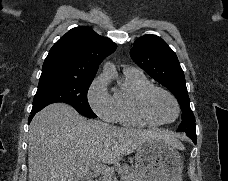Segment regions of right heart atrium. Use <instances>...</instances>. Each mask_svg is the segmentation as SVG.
Segmentation results:
<instances>
[{
  "instance_id": "right-heart-atrium-1",
  "label": "right heart atrium",
  "mask_w": 228,
  "mask_h": 181,
  "mask_svg": "<svg viewBox=\"0 0 228 181\" xmlns=\"http://www.w3.org/2000/svg\"><path fill=\"white\" fill-rule=\"evenodd\" d=\"M88 99L92 109L101 119L108 122L115 120L113 97L106 89L104 77L100 76L95 80Z\"/></svg>"
}]
</instances>
